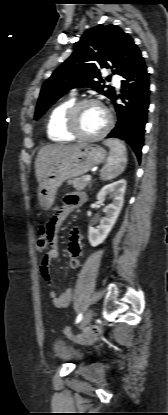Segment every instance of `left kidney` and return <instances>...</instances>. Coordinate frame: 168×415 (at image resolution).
Wrapping results in <instances>:
<instances>
[{
	"label": "left kidney",
	"instance_id": "5707ae66",
	"mask_svg": "<svg viewBox=\"0 0 168 415\" xmlns=\"http://www.w3.org/2000/svg\"><path fill=\"white\" fill-rule=\"evenodd\" d=\"M126 181L121 179L105 185L97 194V200L103 202L107 195L113 197V202L104 209L105 217L100 220L97 228L89 227L88 240L91 246L96 247L103 243L112 230L124 203Z\"/></svg>",
	"mask_w": 168,
	"mask_h": 415
}]
</instances>
